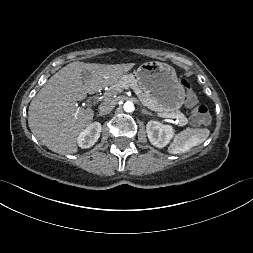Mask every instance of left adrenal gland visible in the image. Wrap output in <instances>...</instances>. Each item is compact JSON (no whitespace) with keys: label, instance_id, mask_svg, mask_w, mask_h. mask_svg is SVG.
I'll return each instance as SVG.
<instances>
[{"label":"left adrenal gland","instance_id":"1","mask_svg":"<svg viewBox=\"0 0 253 253\" xmlns=\"http://www.w3.org/2000/svg\"><path fill=\"white\" fill-rule=\"evenodd\" d=\"M141 112L144 113V114H146V115H151V113L148 112L146 109H142Z\"/></svg>","mask_w":253,"mask_h":253}]
</instances>
